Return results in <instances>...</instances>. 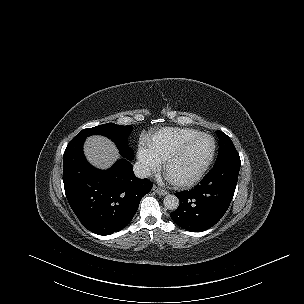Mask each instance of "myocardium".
Listing matches in <instances>:
<instances>
[{"mask_svg":"<svg viewBox=\"0 0 304 304\" xmlns=\"http://www.w3.org/2000/svg\"><path fill=\"white\" fill-rule=\"evenodd\" d=\"M202 138H210L212 140V151L204 163V165L200 168V170L194 174L193 176L185 179H179V180H173L169 176V170L170 166L173 163L175 159H177L179 156H181L191 145H193L195 142ZM216 153V141L215 138L207 133H200L199 135L193 137L183 145H181L179 148H177L175 151H173L166 159L165 164H164V170L165 174L168 177V179L177 187H187L191 186L195 183H197L199 180L202 179V177L206 174L207 170L209 169L210 165L212 164L214 157Z\"/></svg>","mask_w":304,"mask_h":304,"instance_id":"obj_1","label":"myocardium"}]
</instances>
